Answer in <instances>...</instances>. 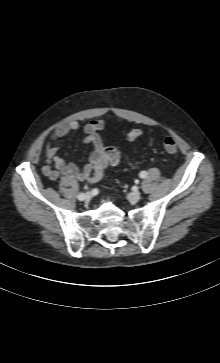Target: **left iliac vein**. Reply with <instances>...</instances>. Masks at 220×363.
<instances>
[{"instance_id": "4c4485c4", "label": "left iliac vein", "mask_w": 220, "mask_h": 363, "mask_svg": "<svg viewBox=\"0 0 220 363\" xmlns=\"http://www.w3.org/2000/svg\"><path fill=\"white\" fill-rule=\"evenodd\" d=\"M140 198H141V193H140L138 190H136V191H134V192H132V193H130V194L128 195V200H129L131 203H136V202H138V201L140 200Z\"/></svg>"}]
</instances>
